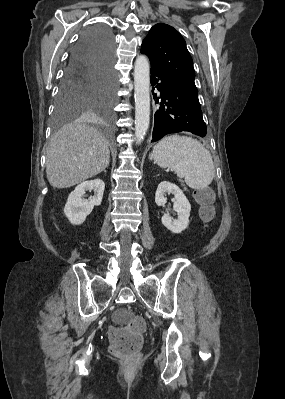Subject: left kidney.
Masks as SVG:
<instances>
[{"label": "left kidney", "instance_id": "obj_1", "mask_svg": "<svg viewBox=\"0 0 285 399\" xmlns=\"http://www.w3.org/2000/svg\"><path fill=\"white\" fill-rule=\"evenodd\" d=\"M166 193L174 195L175 201L173 209L177 212V219L172 220L168 213L162 217V224L170 230L172 233H181L189 225V216L191 211V205L182 192V190L175 184L168 181H163L158 185L155 194V202L158 206L164 207L167 200L164 197Z\"/></svg>", "mask_w": 285, "mask_h": 399}]
</instances>
